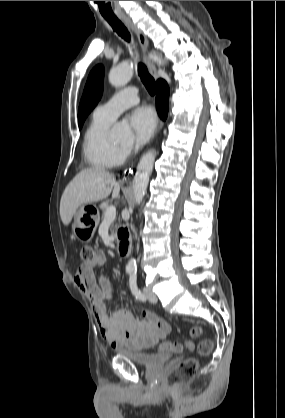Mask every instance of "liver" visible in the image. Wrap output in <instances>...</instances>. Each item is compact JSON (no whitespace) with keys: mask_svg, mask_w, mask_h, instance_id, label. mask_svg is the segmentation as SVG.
<instances>
[{"mask_svg":"<svg viewBox=\"0 0 285 418\" xmlns=\"http://www.w3.org/2000/svg\"><path fill=\"white\" fill-rule=\"evenodd\" d=\"M118 198L120 185L113 174L93 167L80 171L65 188L60 201V217L68 226L82 204L98 202L107 198Z\"/></svg>","mask_w":285,"mask_h":418,"instance_id":"obj_1","label":"liver"}]
</instances>
